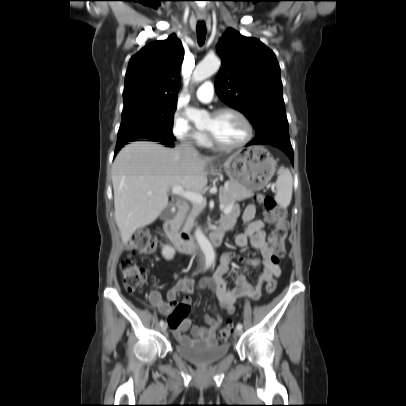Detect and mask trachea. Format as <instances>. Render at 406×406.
<instances>
[{"label":"trachea","instance_id":"1","mask_svg":"<svg viewBox=\"0 0 406 406\" xmlns=\"http://www.w3.org/2000/svg\"><path fill=\"white\" fill-rule=\"evenodd\" d=\"M206 38V24L204 21H199L197 23V40L198 44L202 46Z\"/></svg>","mask_w":406,"mask_h":406}]
</instances>
